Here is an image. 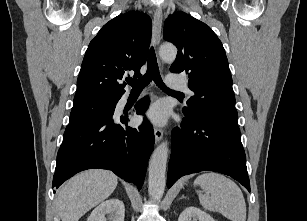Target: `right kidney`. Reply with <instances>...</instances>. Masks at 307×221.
<instances>
[{
    "label": "right kidney",
    "mask_w": 307,
    "mask_h": 221,
    "mask_svg": "<svg viewBox=\"0 0 307 221\" xmlns=\"http://www.w3.org/2000/svg\"><path fill=\"white\" fill-rule=\"evenodd\" d=\"M106 215L109 216L110 221H124V203L116 198L106 200L92 211L87 221H107Z\"/></svg>",
    "instance_id": "obj_1"
}]
</instances>
